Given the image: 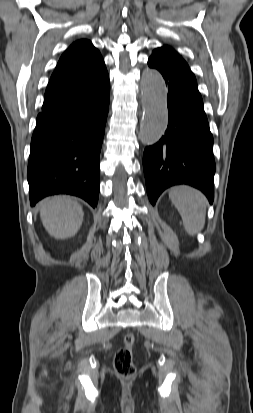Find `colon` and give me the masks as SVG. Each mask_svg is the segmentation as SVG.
I'll use <instances>...</instances> for the list:
<instances>
[{"label":"colon","mask_w":253,"mask_h":413,"mask_svg":"<svg viewBox=\"0 0 253 413\" xmlns=\"http://www.w3.org/2000/svg\"><path fill=\"white\" fill-rule=\"evenodd\" d=\"M136 344L134 334L127 333L123 345L118 349L114 357V369L118 376L128 379L134 376L136 368L133 362V351Z\"/></svg>","instance_id":"obj_1"}]
</instances>
